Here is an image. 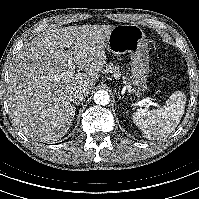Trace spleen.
Masks as SVG:
<instances>
[{
  "mask_svg": "<svg viewBox=\"0 0 199 199\" xmlns=\"http://www.w3.org/2000/svg\"><path fill=\"white\" fill-rule=\"evenodd\" d=\"M186 97L181 91L174 92L160 109L140 110L133 113L136 126L149 140L160 139L175 130L184 114Z\"/></svg>",
  "mask_w": 199,
  "mask_h": 199,
  "instance_id": "obj_1",
  "label": "spleen"
}]
</instances>
